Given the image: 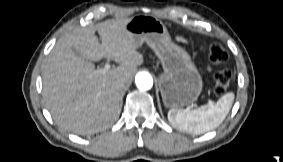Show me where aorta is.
<instances>
[{
	"label": "aorta",
	"mask_w": 283,
	"mask_h": 162,
	"mask_svg": "<svg viewBox=\"0 0 283 162\" xmlns=\"http://www.w3.org/2000/svg\"><path fill=\"white\" fill-rule=\"evenodd\" d=\"M135 83L140 90H149L153 86V78L148 72H139L135 77Z\"/></svg>",
	"instance_id": "aorta-1"
}]
</instances>
